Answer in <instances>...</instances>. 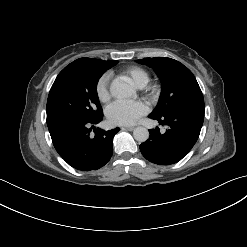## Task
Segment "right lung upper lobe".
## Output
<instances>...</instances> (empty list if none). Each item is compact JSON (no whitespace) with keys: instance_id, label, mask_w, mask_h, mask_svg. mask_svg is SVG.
Segmentation results:
<instances>
[{"instance_id":"obj_1","label":"right lung upper lobe","mask_w":247,"mask_h":247,"mask_svg":"<svg viewBox=\"0 0 247 247\" xmlns=\"http://www.w3.org/2000/svg\"><path fill=\"white\" fill-rule=\"evenodd\" d=\"M106 62H109V61H103V60L92 59V58H80L70 63L65 68L83 67V66L93 65L96 63H106Z\"/></svg>"}]
</instances>
